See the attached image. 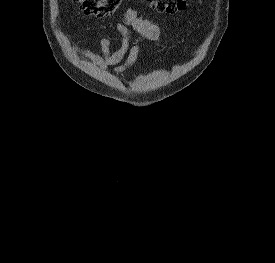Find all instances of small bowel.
Here are the masks:
<instances>
[{
    "mask_svg": "<svg viewBox=\"0 0 275 263\" xmlns=\"http://www.w3.org/2000/svg\"><path fill=\"white\" fill-rule=\"evenodd\" d=\"M116 27L122 37L121 45L116 51L112 52L110 50V38L104 33L100 39L101 54L94 53L87 48H83L82 53L101 70L114 67L113 73L121 75L136 63L141 49L140 39L159 40L162 36V31L156 23L141 18L132 8L125 10L124 22L118 23ZM130 28L139 36L137 42L131 47Z\"/></svg>",
    "mask_w": 275,
    "mask_h": 263,
    "instance_id": "obj_1",
    "label": "small bowel"
}]
</instances>
